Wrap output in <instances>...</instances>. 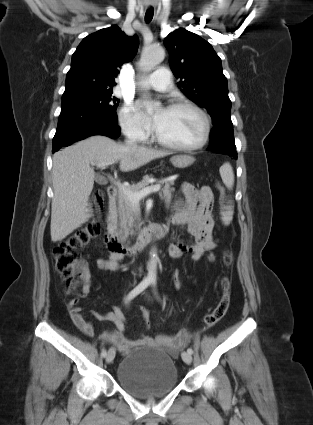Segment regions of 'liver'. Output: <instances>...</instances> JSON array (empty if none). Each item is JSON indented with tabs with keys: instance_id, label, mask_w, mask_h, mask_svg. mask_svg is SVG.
Here are the masks:
<instances>
[{
	"instance_id": "liver-1",
	"label": "liver",
	"mask_w": 313,
	"mask_h": 425,
	"mask_svg": "<svg viewBox=\"0 0 313 425\" xmlns=\"http://www.w3.org/2000/svg\"><path fill=\"white\" fill-rule=\"evenodd\" d=\"M170 154L146 147H128L100 135L56 152L52 168L51 240H63L91 218L88 201L95 179L91 162L120 161V169L127 172Z\"/></svg>"
}]
</instances>
